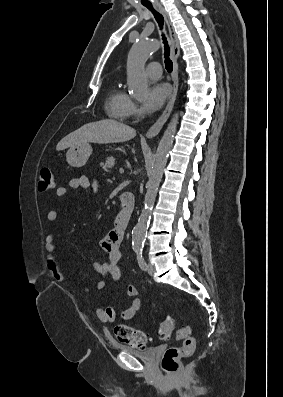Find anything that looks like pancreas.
Listing matches in <instances>:
<instances>
[{"label": "pancreas", "mask_w": 283, "mask_h": 397, "mask_svg": "<svg viewBox=\"0 0 283 397\" xmlns=\"http://www.w3.org/2000/svg\"><path fill=\"white\" fill-rule=\"evenodd\" d=\"M117 165V161L114 157H107L106 161L101 163V167L106 171V172H111L110 169H112L114 166Z\"/></svg>", "instance_id": "pancreas-1"}]
</instances>
